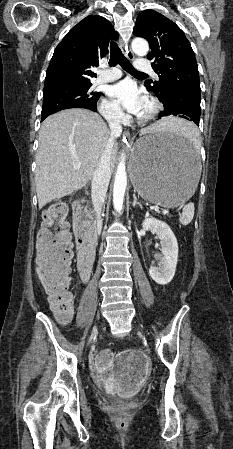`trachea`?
Here are the masks:
<instances>
[{"label": "trachea", "instance_id": "trachea-1", "mask_svg": "<svg viewBox=\"0 0 233 449\" xmlns=\"http://www.w3.org/2000/svg\"><path fill=\"white\" fill-rule=\"evenodd\" d=\"M119 64L124 70L131 74H137V75H146L143 72H139L136 69L133 68V66L130 64V62L125 58V56L122 54L120 48L115 42L110 43V60L109 65L115 66Z\"/></svg>", "mask_w": 233, "mask_h": 449}]
</instances>
